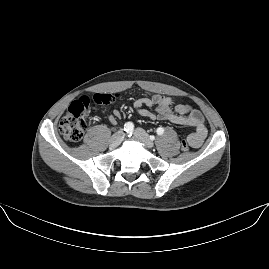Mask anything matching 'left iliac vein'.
Returning a JSON list of instances; mask_svg holds the SVG:
<instances>
[{
  "label": "left iliac vein",
  "mask_w": 269,
  "mask_h": 269,
  "mask_svg": "<svg viewBox=\"0 0 269 269\" xmlns=\"http://www.w3.org/2000/svg\"><path fill=\"white\" fill-rule=\"evenodd\" d=\"M134 138L143 144L147 149L154 147V142L149 138L148 134L141 128L134 131Z\"/></svg>",
  "instance_id": "1"
}]
</instances>
